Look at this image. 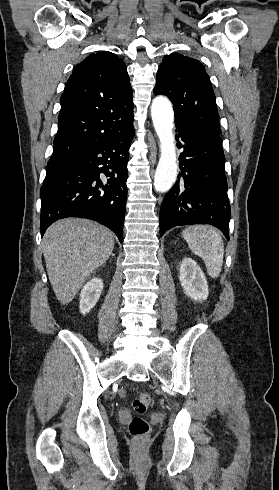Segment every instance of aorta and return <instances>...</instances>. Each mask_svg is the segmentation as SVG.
Listing matches in <instances>:
<instances>
[{"label":"aorta","instance_id":"762f6f07","mask_svg":"<svg viewBox=\"0 0 279 490\" xmlns=\"http://www.w3.org/2000/svg\"><path fill=\"white\" fill-rule=\"evenodd\" d=\"M151 117L160 141V159L154 177V188L164 193L177 177L176 146L173 135L174 111L170 100L158 96L152 101Z\"/></svg>","mask_w":279,"mask_h":490}]
</instances>
